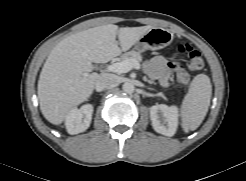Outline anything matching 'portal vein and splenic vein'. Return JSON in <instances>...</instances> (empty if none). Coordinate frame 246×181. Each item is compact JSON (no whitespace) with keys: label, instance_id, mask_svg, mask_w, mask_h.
Listing matches in <instances>:
<instances>
[{"label":"portal vein and splenic vein","instance_id":"obj_1","mask_svg":"<svg viewBox=\"0 0 246 181\" xmlns=\"http://www.w3.org/2000/svg\"><path fill=\"white\" fill-rule=\"evenodd\" d=\"M133 68L139 69L140 64L134 59H129L107 66V71L113 73H127Z\"/></svg>","mask_w":246,"mask_h":181}]
</instances>
